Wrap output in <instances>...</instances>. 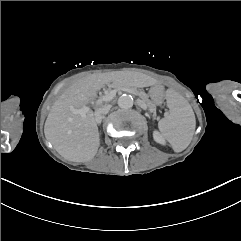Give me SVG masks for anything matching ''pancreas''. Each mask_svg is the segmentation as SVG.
<instances>
[{
	"instance_id": "cf45deb5",
	"label": "pancreas",
	"mask_w": 241,
	"mask_h": 241,
	"mask_svg": "<svg viewBox=\"0 0 241 241\" xmlns=\"http://www.w3.org/2000/svg\"><path fill=\"white\" fill-rule=\"evenodd\" d=\"M122 88V87H126L127 89L129 90H133L136 94H138V97H141V99H143V102L144 103H148V106H153V101H149V98L146 97V94H143V92H140V89L139 88H135V87H128L127 85H120V84H117V85H114V86H109V88ZM117 91V90H116ZM155 115V113H154Z\"/></svg>"
}]
</instances>
